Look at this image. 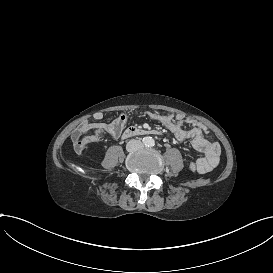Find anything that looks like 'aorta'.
Returning <instances> with one entry per match:
<instances>
[{"label": "aorta", "mask_w": 273, "mask_h": 273, "mask_svg": "<svg viewBox=\"0 0 273 273\" xmlns=\"http://www.w3.org/2000/svg\"><path fill=\"white\" fill-rule=\"evenodd\" d=\"M146 144L147 145H153L154 144V140L152 137H147L146 138Z\"/></svg>", "instance_id": "1"}]
</instances>
